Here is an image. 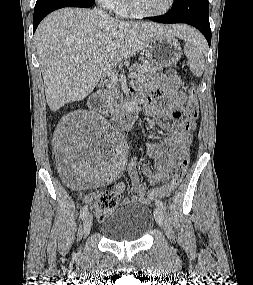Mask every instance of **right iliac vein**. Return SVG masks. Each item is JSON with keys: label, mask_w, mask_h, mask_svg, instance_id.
Instances as JSON below:
<instances>
[{"label": "right iliac vein", "mask_w": 253, "mask_h": 285, "mask_svg": "<svg viewBox=\"0 0 253 285\" xmlns=\"http://www.w3.org/2000/svg\"><path fill=\"white\" fill-rule=\"evenodd\" d=\"M92 224H93L92 215L90 213H88L84 217V221H83V233H84V236H87L90 233Z\"/></svg>", "instance_id": "63e3f726"}]
</instances>
